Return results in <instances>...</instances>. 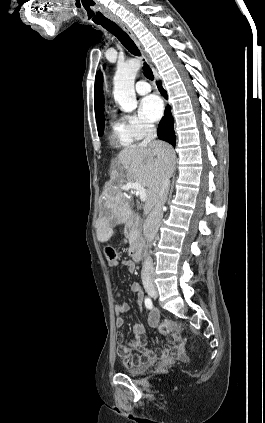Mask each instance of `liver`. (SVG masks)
Here are the masks:
<instances>
[{"instance_id": "6515ba94", "label": "liver", "mask_w": 265, "mask_h": 423, "mask_svg": "<svg viewBox=\"0 0 265 423\" xmlns=\"http://www.w3.org/2000/svg\"><path fill=\"white\" fill-rule=\"evenodd\" d=\"M174 160L173 149L162 141L147 146L130 145L119 152L100 200L103 212L96 222L99 242H107L114 234L113 226L125 222L130 213L129 201L135 191L123 190L124 182H137L145 189L143 214L146 216L156 204L164 173L171 175Z\"/></svg>"}]
</instances>
